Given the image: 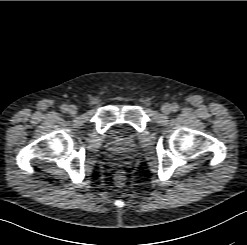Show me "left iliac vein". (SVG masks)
<instances>
[{
  "label": "left iliac vein",
  "mask_w": 247,
  "mask_h": 245,
  "mask_svg": "<svg viewBox=\"0 0 247 245\" xmlns=\"http://www.w3.org/2000/svg\"><path fill=\"white\" fill-rule=\"evenodd\" d=\"M171 109H172V107L168 103L163 104L162 107H161V111L165 115H168L171 112Z\"/></svg>",
  "instance_id": "1"
}]
</instances>
